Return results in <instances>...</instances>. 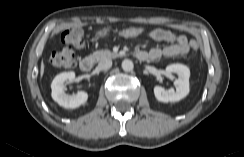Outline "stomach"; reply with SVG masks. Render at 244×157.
Listing matches in <instances>:
<instances>
[{"label":"stomach","mask_w":244,"mask_h":157,"mask_svg":"<svg viewBox=\"0 0 244 157\" xmlns=\"http://www.w3.org/2000/svg\"><path fill=\"white\" fill-rule=\"evenodd\" d=\"M107 34H108V31L105 29L97 32V35H99V36H106Z\"/></svg>","instance_id":"0dacf381"}]
</instances>
